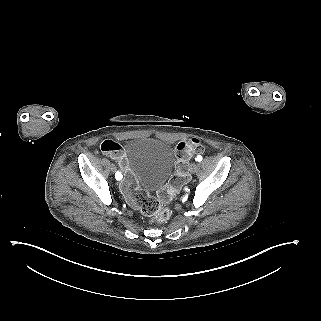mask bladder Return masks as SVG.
Wrapping results in <instances>:
<instances>
[{"label":"bladder","mask_w":321,"mask_h":321,"mask_svg":"<svg viewBox=\"0 0 321 321\" xmlns=\"http://www.w3.org/2000/svg\"><path fill=\"white\" fill-rule=\"evenodd\" d=\"M125 157L137 185L145 191L159 190L174 163L170 144L150 137L129 140L125 146Z\"/></svg>","instance_id":"bladder-1"}]
</instances>
